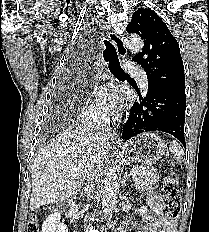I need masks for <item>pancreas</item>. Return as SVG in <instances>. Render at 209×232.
Masks as SVG:
<instances>
[{
  "mask_svg": "<svg viewBox=\"0 0 209 232\" xmlns=\"http://www.w3.org/2000/svg\"><path fill=\"white\" fill-rule=\"evenodd\" d=\"M136 171L135 176H133L135 187L138 190L150 189L152 185H155L159 181V175L154 169L134 167Z\"/></svg>",
  "mask_w": 209,
  "mask_h": 232,
  "instance_id": "1",
  "label": "pancreas"
}]
</instances>
